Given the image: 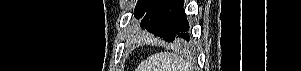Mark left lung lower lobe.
Listing matches in <instances>:
<instances>
[{
    "mask_svg": "<svg viewBox=\"0 0 301 71\" xmlns=\"http://www.w3.org/2000/svg\"><path fill=\"white\" fill-rule=\"evenodd\" d=\"M141 28L168 42L190 44V27L183 0H159L143 17Z\"/></svg>",
    "mask_w": 301,
    "mask_h": 71,
    "instance_id": "0a47b994",
    "label": "left lung lower lobe"
}]
</instances>
